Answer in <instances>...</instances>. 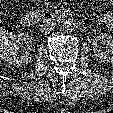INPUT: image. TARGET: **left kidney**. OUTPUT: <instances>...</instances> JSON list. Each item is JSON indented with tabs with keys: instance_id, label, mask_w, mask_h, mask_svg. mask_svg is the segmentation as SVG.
Listing matches in <instances>:
<instances>
[{
	"instance_id": "left-kidney-1",
	"label": "left kidney",
	"mask_w": 113,
	"mask_h": 113,
	"mask_svg": "<svg viewBox=\"0 0 113 113\" xmlns=\"http://www.w3.org/2000/svg\"><path fill=\"white\" fill-rule=\"evenodd\" d=\"M98 41H102L106 44V51L102 52L98 49ZM93 52L95 58L99 62L113 63V36L107 33H98L93 39Z\"/></svg>"
}]
</instances>
